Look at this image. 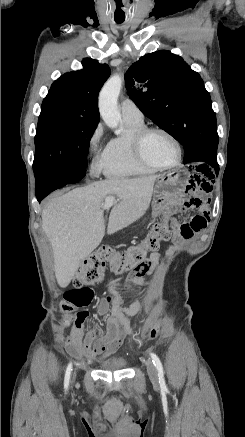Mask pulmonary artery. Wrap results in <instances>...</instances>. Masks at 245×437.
<instances>
[{"mask_svg":"<svg viewBox=\"0 0 245 437\" xmlns=\"http://www.w3.org/2000/svg\"><path fill=\"white\" fill-rule=\"evenodd\" d=\"M121 114L123 119L133 121H143V114L140 109L129 99H125L121 103Z\"/></svg>","mask_w":245,"mask_h":437,"instance_id":"obj_1","label":"pulmonary artery"}]
</instances>
